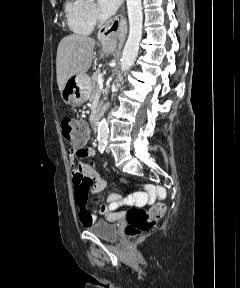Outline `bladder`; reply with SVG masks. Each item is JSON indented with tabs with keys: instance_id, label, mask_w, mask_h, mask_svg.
<instances>
[{
	"instance_id": "1",
	"label": "bladder",
	"mask_w": 240,
	"mask_h": 288,
	"mask_svg": "<svg viewBox=\"0 0 240 288\" xmlns=\"http://www.w3.org/2000/svg\"><path fill=\"white\" fill-rule=\"evenodd\" d=\"M87 229L95 236L107 241H114L119 236V232L115 224L102 220L88 225Z\"/></svg>"
}]
</instances>
